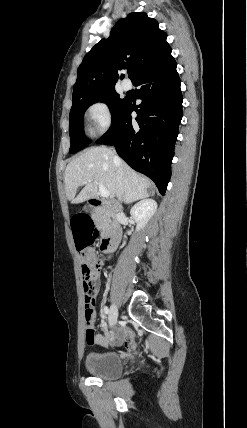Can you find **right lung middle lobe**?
Instances as JSON below:
<instances>
[{"mask_svg": "<svg viewBox=\"0 0 247 428\" xmlns=\"http://www.w3.org/2000/svg\"><path fill=\"white\" fill-rule=\"evenodd\" d=\"M126 101V98H119V95L116 93L114 88L92 93L74 100L69 115V135L71 140V146L69 149L70 153L78 152L89 143L83 132L82 120L85 110L90 105L96 102L106 103L110 109L112 121H114L119 115Z\"/></svg>", "mask_w": 247, "mask_h": 428, "instance_id": "1", "label": "right lung middle lobe"}]
</instances>
